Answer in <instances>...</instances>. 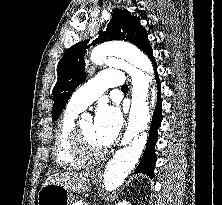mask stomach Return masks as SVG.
I'll list each match as a JSON object with an SVG mask.
<instances>
[{"label":"stomach","instance_id":"obj_1","mask_svg":"<svg viewBox=\"0 0 222 205\" xmlns=\"http://www.w3.org/2000/svg\"><path fill=\"white\" fill-rule=\"evenodd\" d=\"M91 180L96 182L97 176L92 175ZM38 205H73L72 194L57 184H45L38 194Z\"/></svg>","mask_w":222,"mask_h":205}]
</instances>
